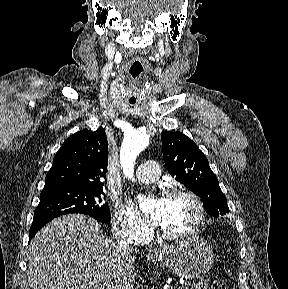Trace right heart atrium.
Listing matches in <instances>:
<instances>
[{"label": "right heart atrium", "instance_id": "right-heart-atrium-1", "mask_svg": "<svg viewBox=\"0 0 288 289\" xmlns=\"http://www.w3.org/2000/svg\"><path fill=\"white\" fill-rule=\"evenodd\" d=\"M112 222L117 236L127 242L140 244L151 235L152 229L149 223L127 212L122 207L116 208Z\"/></svg>", "mask_w": 288, "mask_h": 289}]
</instances>
